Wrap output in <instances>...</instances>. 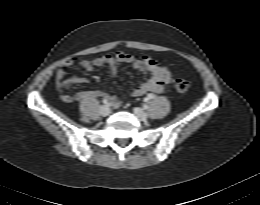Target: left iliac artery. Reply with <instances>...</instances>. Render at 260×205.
Listing matches in <instances>:
<instances>
[{"instance_id":"obj_1","label":"left iliac artery","mask_w":260,"mask_h":205,"mask_svg":"<svg viewBox=\"0 0 260 205\" xmlns=\"http://www.w3.org/2000/svg\"><path fill=\"white\" fill-rule=\"evenodd\" d=\"M144 109H148V105L144 104L143 105Z\"/></svg>"}]
</instances>
